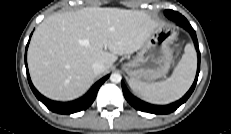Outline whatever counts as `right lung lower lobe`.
<instances>
[{
    "label": "right lung lower lobe",
    "instance_id": "1",
    "mask_svg": "<svg viewBox=\"0 0 231 134\" xmlns=\"http://www.w3.org/2000/svg\"><path fill=\"white\" fill-rule=\"evenodd\" d=\"M28 44H29V42H28ZM28 44L26 46V53H25V66H26V71H27L28 82H29V85H30L33 93L35 94V96L43 104H45V106L48 109H50L53 112L60 113V114H72L74 112H79L81 110L88 108L93 103V101L96 98V95H97V92H98L100 86L105 82V80L109 77V75L102 78L101 80H99L84 97H82L78 100H75L72 102H66V103L51 101V100L45 98L44 96H42L34 88L32 82H31L29 72H28V67H27V61H26Z\"/></svg>",
    "mask_w": 231,
    "mask_h": 134
}]
</instances>
